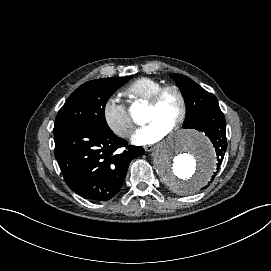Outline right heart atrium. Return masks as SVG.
I'll list each match as a JSON object with an SVG mask.
<instances>
[{
	"mask_svg": "<svg viewBox=\"0 0 271 271\" xmlns=\"http://www.w3.org/2000/svg\"><path fill=\"white\" fill-rule=\"evenodd\" d=\"M102 116L106 125L121 138H128L134 129L133 120L120 93L111 94L104 100Z\"/></svg>",
	"mask_w": 271,
	"mask_h": 271,
	"instance_id": "obj_1",
	"label": "right heart atrium"
}]
</instances>
